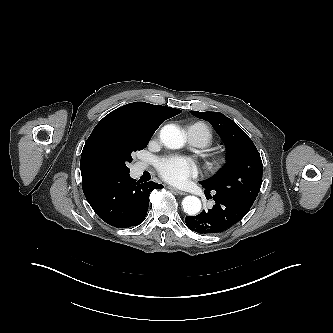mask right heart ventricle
<instances>
[{
    "mask_svg": "<svg viewBox=\"0 0 333 333\" xmlns=\"http://www.w3.org/2000/svg\"><path fill=\"white\" fill-rule=\"evenodd\" d=\"M196 125H198L201 128V130H202V132L205 136L206 143L208 144L211 141V138H212V135H211V132H210L209 128L206 125L202 124V123H196Z\"/></svg>",
    "mask_w": 333,
    "mask_h": 333,
    "instance_id": "e07e8e85",
    "label": "right heart ventricle"
}]
</instances>
